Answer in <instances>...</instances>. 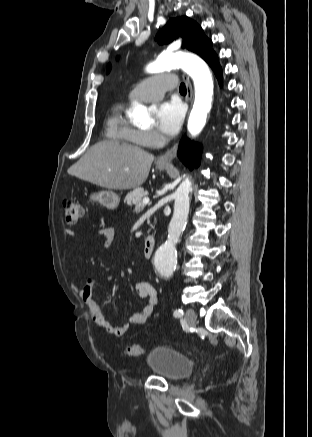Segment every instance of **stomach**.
<instances>
[{"mask_svg": "<svg viewBox=\"0 0 312 437\" xmlns=\"http://www.w3.org/2000/svg\"><path fill=\"white\" fill-rule=\"evenodd\" d=\"M168 166V164H157V168L160 170H165ZM89 202L99 204L109 210H114L119 206L120 198L111 190H102L99 192H91Z\"/></svg>", "mask_w": 312, "mask_h": 437, "instance_id": "1", "label": "stomach"}]
</instances>
